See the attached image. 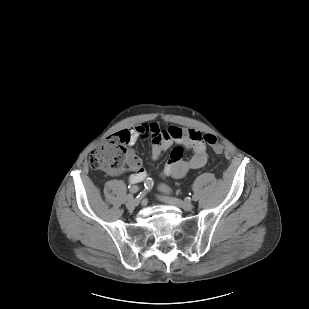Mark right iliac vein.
Wrapping results in <instances>:
<instances>
[{"label": "right iliac vein", "mask_w": 309, "mask_h": 309, "mask_svg": "<svg viewBox=\"0 0 309 309\" xmlns=\"http://www.w3.org/2000/svg\"><path fill=\"white\" fill-rule=\"evenodd\" d=\"M138 203H134L133 200L132 201H127L126 203V207L129 210H133L135 207H137Z\"/></svg>", "instance_id": "1"}]
</instances>
